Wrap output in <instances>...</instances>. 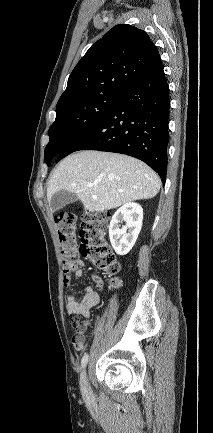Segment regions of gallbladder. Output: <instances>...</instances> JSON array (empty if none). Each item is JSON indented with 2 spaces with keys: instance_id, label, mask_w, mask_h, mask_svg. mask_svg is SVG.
Segmentation results:
<instances>
[{
  "instance_id": "1",
  "label": "gallbladder",
  "mask_w": 213,
  "mask_h": 433,
  "mask_svg": "<svg viewBox=\"0 0 213 433\" xmlns=\"http://www.w3.org/2000/svg\"><path fill=\"white\" fill-rule=\"evenodd\" d=\"M77 200L78 197L74 193L67 190H60L53 195L50 202V208L53 211H57L68 204L76 202Z\"/></svg>"
}]
</instances>
